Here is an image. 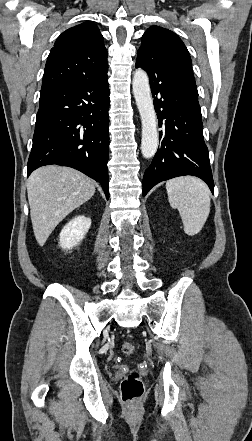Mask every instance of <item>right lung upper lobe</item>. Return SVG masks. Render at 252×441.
<instances>
[{
  "label": "right lung upper lobe",
  "mask_w": 252,
  "mask_h": 441,
  "mask_svg": "<svg viewBox=\"0 0 252 441\" xmlns=\"http://www.w3.org/2000/svg\"><path fill=\"white\" fill-rule=\"evenodd\" d=\"M107 50L94 23L69 28L56 40L48 56L41 93L81 82L107 78Z\"/></svg>",
  "instance_id": "right-lung-upper-lobe-1"
}]
</instances>
